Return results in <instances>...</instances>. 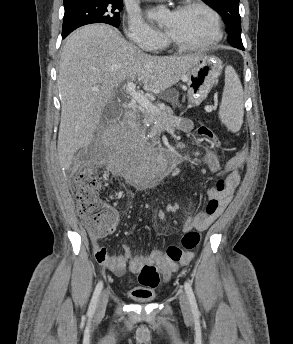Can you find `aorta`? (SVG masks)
Returning a JSON list of instances; mask_svg holds the SVG:
<instances>
[{"instance_id":"aorta-1","label":"aorta","mask_w":293,"mask_h":344,"mask_svg":"<svg viewBox=\"0 0 293 344\" xmlns=\"http://www.w3.org/2000/svg\"><path fill=\"white\" fill-rule=\"evenodd\" d=\"M166 10L164 8H160L157 10H152L148 12V17L150 19H154L156 21H160L163 16L165 15ZM151 166L154 171L158 173H164L169 168V161L167 157L162 153H155L151 156Z\"/></svg>"}]
</instances>
